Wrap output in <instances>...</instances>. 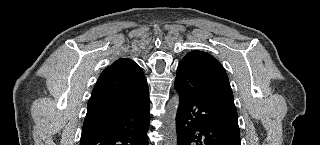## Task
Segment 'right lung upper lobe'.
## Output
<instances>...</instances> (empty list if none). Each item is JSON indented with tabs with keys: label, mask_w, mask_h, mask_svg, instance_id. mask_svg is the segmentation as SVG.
<instances>
[{
	"label": "right lung upper lobe",
	"mask_w": 320,
	"mask_h": 145,
	"mask_svg": "<svg viewBox=\"0 0 320 145\" xmlns=\"http://www.w3.org/2000/svg\"><path fill=\"white\" fill-rule=\"evenodd\" d=\"M141 68L131 59L120 58L101 73L88 101L86 119L113 113L136 96L146 83Z\"/></svg>",
	"instance_id": "cb5924a9"
}]
</instances>
